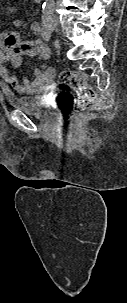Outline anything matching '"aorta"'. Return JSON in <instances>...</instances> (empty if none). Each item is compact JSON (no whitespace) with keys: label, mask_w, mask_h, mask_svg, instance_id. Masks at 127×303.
Returning a JSON list of instances; mask_svg holds the SVG:
<instances>
[{"label":"aorta","mask_w":127,"mask_h":303,"mask_svg":"<svg viewBox=\"0 0 127 303\" xmlns=\"http://www.w3.org/2000/svg\"><path fill=\"white\" fill-rule=\"evenodd\" d=\"M54 3H55L54 0H45L44 5H45V7H51L54 5Z\"/></svg>","instance_id":"obj_1"}]
</instances>
